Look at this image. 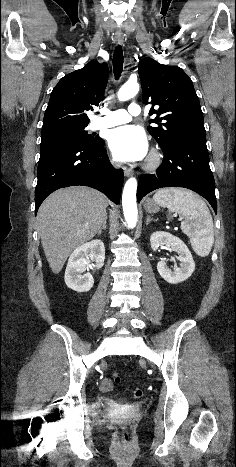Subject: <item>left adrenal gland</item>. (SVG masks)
<instances>
[{
	"label": "left adrenal gland",
	"instance_id": "obj_1",
	"mask_svg": "<svg viewBox=\"0 0 236 467\" xmlns=\"http://www.w3.org/2000/svg\"><path fill=\"white\" fill-rule=\"evenodd\" d=\"M151 221H156L154 219H152L149 215H147V219H146V225H148Z\"/></svg>",
	"mask_w": 236,
	"mask_h": 467
}]
</instances>
